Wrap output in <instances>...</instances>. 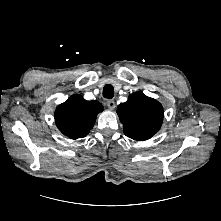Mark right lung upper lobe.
Returning <instances> with one entry per match:
<instances>
[{
	"mask_svg": "<svg viewBox=\"0 0 221 221\" xmlns=\"http://www.w3.org/2000/svg\"><path fill=\"white\" fill-rule=\"evenodd\" d=\"M102 111L101 103L74 95L56 108L55 123L70 139L82 138L93 128L97 114Z\"/></svg>",
	"mask_w": 221,
	"mask_h": 221,
	"instance_id": "1",
	"label": "right lung upper lobe"
}]
</instances>
